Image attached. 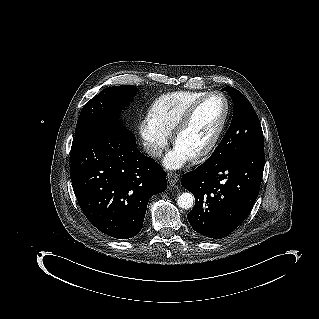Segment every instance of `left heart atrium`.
<instances>
[{"instance_id":"39dd6f15","label":"left heart atrium","mask_w":319,"mask_h":319,"mask_svg":"<svg viewBox=\"0 0 319 319\" xmlns=\"http://www.w3.org/2000/svg\"><path fill=\"white\" fill-rule=\"evenodd\" d=\"M191 153L181 147L170 152L164 158V164L167 168L177 169L186 164L190 159Z\"/></svg>"}]
</instances>
